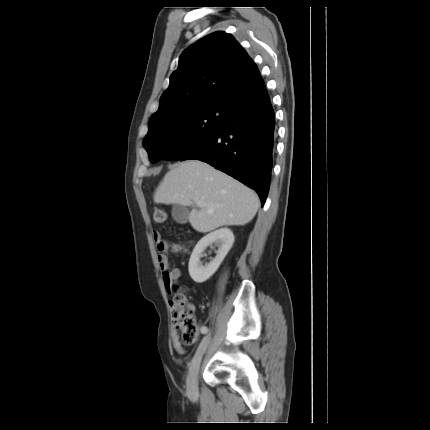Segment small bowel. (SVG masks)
<instances>
[{"label":"small bowel","mask_w":430,"mask_h":430,"mask_svg":"<svg viewBox=\"0 0 430 430\" xmlns=\"http://www.w3.org/2000/svg\"><path fill=\"white\" fill-rule=\"evenodd\" d=\"M155 242L157 243L158 250L165 251L168 248V243L162 239L159 233L153 235ZM158 263L162 271V281L164 282V288L166 291H173L175 288V281L181 277V271L179 268H173L170 271L167 270V259L163 254L158 255ZM201 334L208 332V327L201 325L199 329ZM171 340L173 348L180 354L184 353L182 345L179 341V335L177 330L173 327L171 330Z\"/></svg>","instance_id":"1"}]
</instances>
